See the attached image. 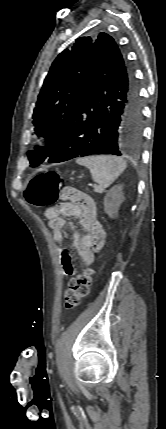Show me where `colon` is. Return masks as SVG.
I'll list each match as a JSON object with an SVG mask.
<instances>
[{
	"label": "colon",
	"instance_id": "colon-1",
	"mask_svg": "<svg viewBox=\"0 0 166 429\" xmlns=\"http://www.w3.org/2000/svg\"><path fill=\"white\" fill-rule=\"evenodd\" d=\"M26 200L36 207H46L59 199H67L77 205H87L91 198L73 187L63 185L62 177L55 171H45L35 175L25 191ZM93 270L84 269L70 279L64 291V303L67 309L76 307L90 290Z\"/></svg>",
	"mask_w": 166,
	"mask_h": 429
}]
</instances>
